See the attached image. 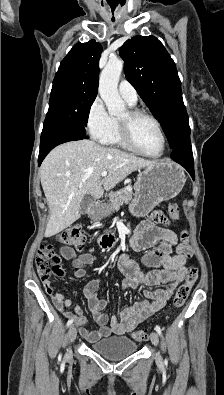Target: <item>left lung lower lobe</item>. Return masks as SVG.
<instances>
[{"label": "left lung lower lobe", "instance_id": "0a47b994", "mask_svg": "<svg viewBox=\"0 0 224 395\" xmlns=\"http://www.w3.org/2000/svg\"><path fill=\"white\" fill-rule=\"evenodd\" d=\"M172 150L171 159L182 165L194 179V161L190 143V132L184 134Z\"/></svg>", "mask_w": 224, "mask_h": 395}]
</instances>
